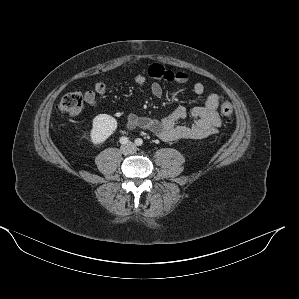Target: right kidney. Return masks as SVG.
<instances>
[{"mask_svg":"<svg viewBox=\"0 0 299 299\" xmlns=\"http://www.w3.org/2000/svg\"><path fill=\"white\" fill-rule=\"evenodd\" d=\"M117 128V121L107 114H99L93 119L90 131L91 142L95 145L103 143Z\"/></svg>","mask_w":299,"mask_h":299,"instance_id":"ca27d5eb","label":"right kidney"}]
</instances>
